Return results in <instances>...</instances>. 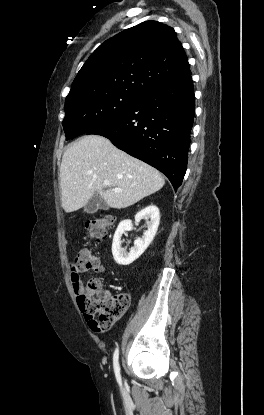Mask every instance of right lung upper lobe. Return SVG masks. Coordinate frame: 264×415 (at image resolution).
Segmentation results:
<instances>
[{
	"label": "right lung upper lobe",
	"mask_w": 264,
	"mask_h": 415,
	"mask_svg": "<svg viewBox=\"0 0 264 415\" xmlns=\"http://www.w3.org/2000/svg\"><path fill=\"white\" fill-rule=\"evenodd\" d=\"M191 75L174 29L146 21L101 44L75 77L65 100L107 92L137 96Z\"/></svg>",
	"instance_id": "right-lung-upper-lobe-1"
}]
</instances>
